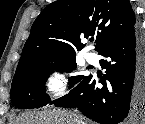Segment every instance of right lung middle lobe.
Returning a JSON list of instances; mask_svg holds the SVG:
<instances>
[{"instance_id":"obj_1","label":"right lung middle lobe","mask_w":145,"mask_h":124,"mask_svg":"<svg viewBox=\"0 0 145 124\" xmlns=\"http://www.w3.org/2000/svg\"><path fill=\"white\" fill-rule=\"evenodd\" d=\"M76 68L75 56L41 61L14 76L11 102L18 109H32L47 105L51 100L45 91V81L53 70L72 72ZM79 75L69 78L70 87L83 80Z\"/></svg>"}]
</instances>
